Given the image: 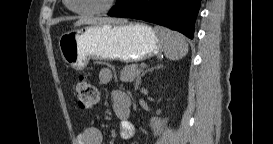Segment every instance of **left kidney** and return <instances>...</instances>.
I'll use <instances>...</instances> for the list:
<instances>
[{"instance_id": "5707ae66", "label": "left kidney", "mask_w": 273, "mask_h": 144, "mask_svg": "<svg viewBox=\"0 0 273 144\" xmlns=\"http://www.w3.org/2000/svg\"><path fill=\"white\" fill-rule=\"evenodd\" d=\"M168 122V119H151V126L154 132L158 133Z\"/></svg>"}]
</instances>
